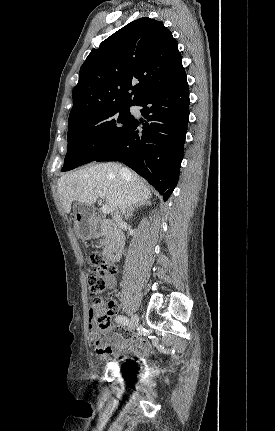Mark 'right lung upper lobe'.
I'll list each match as a JSON object with an SVG mask.
<instances>
[{"label":"right lung upper lobe","mask_w":275,"mask_h":431,"mask_svg":"<svg viewBox=\"0 0 275 431\" xmlns=\"http://www.w3.org/2000/svg\"><path fill=\"white\" fill-rule=\"evenodd\" d=\"M183 69L177 42L163 23L135 20L88 55L72 92L68 123L116 105H136Z\"/></svg>","instance_id":"1"}]
</instances>
